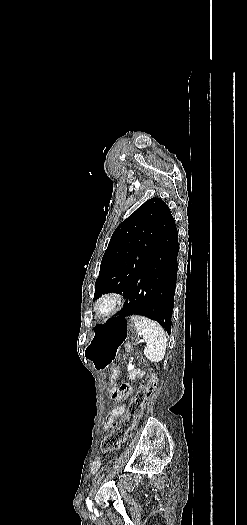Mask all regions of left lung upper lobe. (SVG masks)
<instances>
[{"instance_id": "left-lung-upper-lobe-1", "label": "left lung upper lobe", "mask_w": 247, "mask_h": 525, "mask_svg": "<svg viewBox=\"0 0 247 525\" xmlns=\"http://www.w3.org/2000/svg\"><path fill=\"white\" fill-rule=\"evenodd\" d=\"M172 219L169 207L160 198H151L115 229L101 261L93 300L107 292L127 294Z\"/></svg>"}]
</instances>
